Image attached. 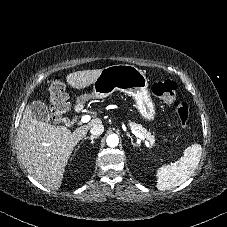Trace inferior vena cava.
I'll list each match as a JSON object with an SVG mask.
<instances>
[{
	"label": "inferior vena cava",
	"mask_w": 227,
	"mask_h": 227,
	"mask_svg": "<svg viewBox=\"0 0 227 227\" xmlns=\"http://www.w3.org/2000/svg\"><path fill=\"white\" fill-rule=\"evenodd\" d=\"M103 131H104V126L101 123L93 125L90 129V133L94 136L101 135Z\"/></svg>",
	"instance_id": "inferior-vena-cava-1"
}]
</instances>
